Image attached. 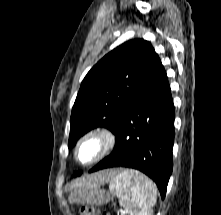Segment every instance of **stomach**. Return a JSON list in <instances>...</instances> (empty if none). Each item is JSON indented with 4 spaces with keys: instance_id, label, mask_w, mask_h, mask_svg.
<instances>
[{
    "instance_id": "0dacf381",
    "label": "stomach",
    "mask_w": 221,
    "mask_h": 215,
    "mask_svg": "<svg viewBox=\"0 0 221 215\" xmlns=\"http://www.w3.org/2000/svg\"><path fill=\"white\" fill-rule=\"evenodd\" d=\"M112 198L110 192L102 189L101 186H94L72 191L69 195V202L71 204L103 205Z\"/></svg>"
}]
</instances>
